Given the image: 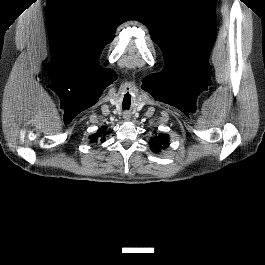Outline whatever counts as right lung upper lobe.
I'll return each mask as SVG.
<instances>
[{"instance_id": "obj_1", "label": "right lung upper lobe", "mask_w": 265, "mask_h": 265, "mask_svg": "<svg viewBox=\"0 0 265 265\" xmlns=\"http://www.w3.org/2000/svg\"><path fill=\"white\" fill-rule=\"evenodd\" d=\"M106 129H107L106 126H102V127L97 131L96 134H93V135H91V136L89 137L90 142H91V143H96V142H98V141H101V142L105 141V135H106L107 133H109L108 131H106Z\"/></svg>"}]
</instances>
